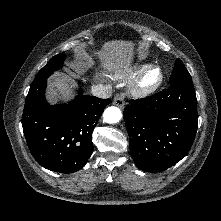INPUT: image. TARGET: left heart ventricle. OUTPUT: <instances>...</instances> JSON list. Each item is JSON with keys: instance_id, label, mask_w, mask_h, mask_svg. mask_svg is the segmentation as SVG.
<instances>
[{"instance_id": "1", "label": "left heart ventricle", "mask_w": 221, "mask_h": 221, "mask_svg": "<svg viewBox=\"0 0 221 221\" xmlns=\"http://www.w3.org/2000/svg\"><path fill=\"white\" fill-rule=\"evenodd\" d=\"M157 72L156 71H153V72H151L150 74H149V76H148V79L150 80V81H154L156 78H157Z\"/></svg>"}]
</instances>
